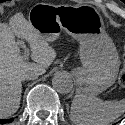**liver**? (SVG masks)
<instances>
[{
    "mask_svg": "<svg viewBox=\"0 0 125 125\" xmlns=\"http://www.w3.org/2000/svg\"><path fill=\"white\" fill-rule=\"evenodd\" d=\"M15 36L29 43L31 57L36 63H27L23 59ZM55 57V50L22 14H15L9 24L0 23V118H7L19 109L21 77L29 72L44 74Z\"/></svg>",
    "mask_w": 125,
    "mask_h": 125,
    "instance_id": "6515ba94",
    "label": "liver"
}]
</instances>
